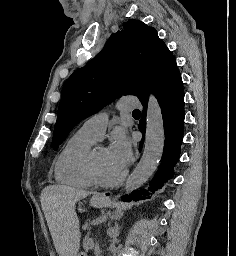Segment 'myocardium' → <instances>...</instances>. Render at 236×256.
I'll list each match as a JSON object with an SVG mask.
<instances>
[{
	"label": "myocardium",
	"mask_w": 236,
	"mask_h": 256,
	"mask_svg": "<svg viewBox=\"0 0 236 256\" xmlns=\"http://www.w3.org/2000/svg\"><path fill=\"white\" fill-rule=\"evenodd\" d=\"M90 169L93 181L96 185L103 187V188H113L121 185L126 178L127 172L123 170L119 175L113 178H106L104 177L93 157V154L90 155Z\"/></svg>",
	"instance_id": "obj_1"
}]
</instances>
